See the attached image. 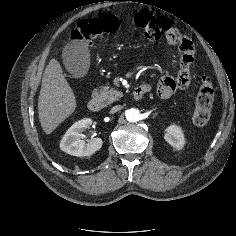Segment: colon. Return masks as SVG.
I'll return each mask as SVG.
<instances>
[{
	"instance_id": "5ec220e1",
	"label": "colon",
	"mask_w": 236,
	"mask_h": 236,
	"mask_svg": "<svg viewBox=\"0 0 236 236\" xmlns=\"http://www.w3.org/2000/svg\"><path fill=\"white\" fill-rule=\"evenodd\" d=\"M136 25L143 31L147 40L155 41L161 38L170 43L179 44L184 36L172 26L165 16L141 11L135 18ZM120 28V20L115 15L101 14L99 16L82 19L72 33V39L81 42H91L103 35L112 34ZM186 79V78H185ZM188 80H183L186 85ZM214 103V87L209 78L204 77L197 92L193 124L195 127L205 126L211 116Z\"/></svg>"
}]
</instances>
